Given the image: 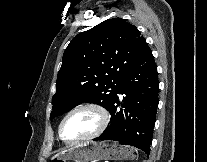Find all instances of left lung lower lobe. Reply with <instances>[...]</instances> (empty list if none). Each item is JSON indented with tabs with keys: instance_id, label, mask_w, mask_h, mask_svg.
<instances>
[{
	"instance_id": "obj_1",
	"label": "left lung lower lobe",
	"mask_w": 207,
	"mask_h": 162,
	"mask_svg": "<svg viewBox=\"0 0 207 162\" xmlns=\"http://www.w3.org/2000/svg\"><path fill=\"white\" fill-rule=\"evenodd\" d=\"M159 80L151 50L124 77L109 112L110 126L94 140H114L150 153L158 107ZM117 94H124L119 103ZM121 105V108L118 106Z\"/></svg>"
}]
</instances>
